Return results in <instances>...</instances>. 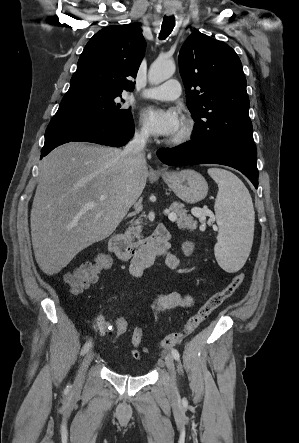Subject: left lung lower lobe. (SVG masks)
<instances>
[{
  "label": "left lung lower lobe",
  "mask_w": 299,
  "mask_h": 443,
  "mask_svg": "<svg viewBox=\"0 0 299 443\" xmlns=\"http://www.w3.org/2000/svg\"><path fill=\"white\" fill-rule=\"evenodd\" d=\"M159 159L170 166L193 164H221L242 172L258 187L257 152L254 142L207 144L190 141L174 148L157 151Z\"/></svg>",
  "instance_id": "left-lung-lower-lobe-1"
}]
</instances>
